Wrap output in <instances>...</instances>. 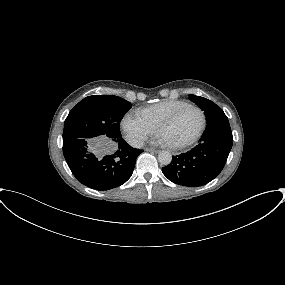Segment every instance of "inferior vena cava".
Masks as SVG:
<instances>
[{
	"mask_svg": "<svg viewBox=\"0 0 285 285\" xmlns=\"http://www.w3.org/2000/svg\"><path fill=\"white\" fill-rule=\"evenodd\" d=\"M128 143L134 148H141L144 145V141L137 137H129Z\"/></svg>",
	"mask_w": 285,
	"mask_h": 285,
	"instance_id": "602c4592",
	"label": "inferior vena cava"
}]
</instances>
